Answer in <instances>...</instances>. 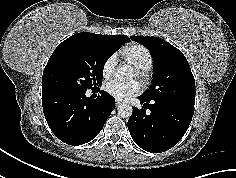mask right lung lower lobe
<instances>
[{
  "mask_svg": "<svg viewBox=\"0 0 236 178\" xmlns=\"http://www.w3.org/2000/svg\"><path fill=\"white\" fill-rule=\"evenodd\" d=\"M86 91L54 89L42 91L43 112L51 131L68 145L93 140L115 109L114 99L104 91L96 99Z\"/></svg>",
  "mask_w": 236,
  "mask_h": 178,
  "instance_id": "1",
  "label": "right lung lower lobe"
}]
</instances>
